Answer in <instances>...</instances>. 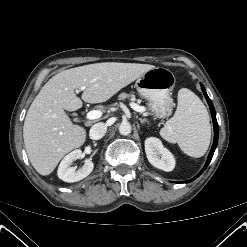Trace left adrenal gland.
Instances as JSON below:
<instances>
[{
  "label": "left adrenal gland",
  "instance_id": "obj_1",
  "mask_svg": "<svg viewBox=\"0 0 247 247\" xmlns=\"http://www.w3.org/2000/svg\"><path fill=\"white\" fill-rule=\"evenodd\" d=\"M139 120H140V122H141L142 124H144V123H146V122H147V119H142V118H139Z\"/></svg>",
  "mask_w": 247,
  "mask_h": 247
}]
</instances>
